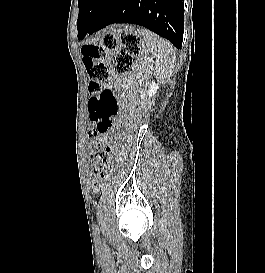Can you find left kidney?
Segmentation results:
<instances>
[{"instance_id": "5707ae66", "label": "left kidney", "mask_w": 265, "mask_h": 273, "mask_svg": "<svg viewBox=\"0 0 265 273\" xmlns=\"http://www.w3.org/2000/svg\"><path fill=\"white\" fill-rule=\"evenodd\" d=\"M157 89H159L158 84L152 82L149 84V89L147 91V94L149 95V97H152L156 94Z\"/></svg>"}]
</instances>
